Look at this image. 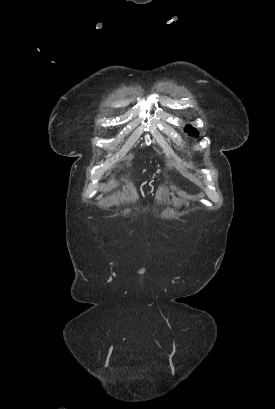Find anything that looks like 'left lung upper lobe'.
Returning a JSON list of instances; mask_svg holds the SVG:
<instances>
[{"label":"left lung upper lobe","mask_w":275,"mask_h":409,"mask_svg":"<svg viewBox=\"0 0 275 409\" xmlns=\"http://www.w3.org/2000/svg\"><path fill=\"white\" fill-rule=\"evenodd\" d=\"M185 131L189 132L193 136H198V132L196 131V129L191 127L190 125L186 126Z\"/></svg>","instance_id":"left-lung-upper-lobe-1"}]
</instances>
